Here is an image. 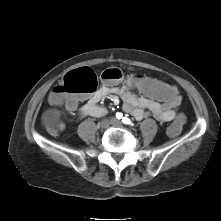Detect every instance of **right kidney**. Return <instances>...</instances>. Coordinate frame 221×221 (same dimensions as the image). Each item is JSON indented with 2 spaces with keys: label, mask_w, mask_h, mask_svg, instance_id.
I'll return each mask as SVG.
<instances>
[{
  "label": "right kidney",
  "mask_w": 221,
  "mask_h": 221,
  "mask_svg": "<svg viewBox=\"0 0 221 221\" xmlns=\"http://www.w3.org/2000/svg\"><path fill=\"white\" fill-rule=\"evenodd\" d=\"M57 129H59V130H64V129H65V124H64V123H59V124L57 125Z\"/></svg>",
  "instance_id": "1"
}]
</instances>
